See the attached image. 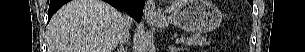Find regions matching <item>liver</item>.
<instances>
[{
	"instance_id": "6515ba94",
	"label": "liver",
	"mask_w": 305,
	"mask_h": 52,
	"mask_svg": "<svg viewBox=\"0 0 305 52\" xmlns=\"http://www.w3.org/2000/svg\"><path fill=\"white\" fill-rule=\"evenodd\" d=\"M129 25L127 17L104 1L72 0L49 23L48 52H113Z\"/></svg>"
}]
</instances>
